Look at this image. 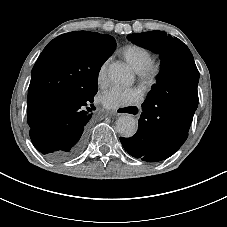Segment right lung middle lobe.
<instances>
[{"label": "right lung middle lobe", "mask_w": 227, "mask_h": 227, "mask_svg": "<svg viewBox=\"0 0 227 227\" xmlns=\"http://www.w3.org/2000/svg\"><path fill=\"white\" fill-rule=\"evenodd\" d=\"M116 42L113 37L96 45L71 43L68 47L69 57L78 62L84 69L86 76L83 94H96L98 73L102 64L115 50Z\"/></svg>", "instance_id": "1"}]
</instances>
